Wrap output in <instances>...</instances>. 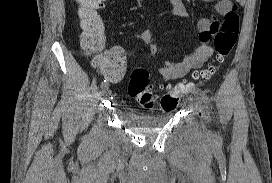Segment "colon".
I'll use <instances>...</instances> for the list:
<instances>
[{
  "label": "colon",
  "mask_w": 272,
  "mask_h": 183,
  "mask_svg": "<svg viewBox=\"0 0 272 183\" xmlns=\"http://www.w3.org/2000/svg\"><path fill=\"white\" fill-rule=\"evenodd\" d=\"M76 3V15L81 30V46L88 55L98 54L102 51L105 44V29L98 10L102 7L105 0H74ZM219 25L216 36L213 39L215 44L214 63L209 65L200 76L203 79L210 78L233 49L239 32V17L237 6H234L224 17L222 23H213ZM113 55L104 53L99 59V67H105L113 61ZM150 74L146 69L137 68L131 73L128 93L135 98L145 109H152L156 103V95L152 92L150 84ZM192 85H176L161 98V108L164 111H172L176 108L180 97L189 91Z\"/></svg>",
  "instance_id": "obj_1"
}]
</instances>
